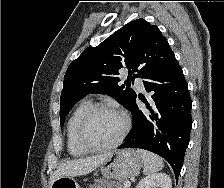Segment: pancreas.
<instances>
[{
  "label": "pancreas",
  "instance_id": "cf45deb5",
  "mask_svg": "<svg viewBox=\"0 0 224 188\" xmlns=\"http://www.w3.org/2000/svg\"><path fill=\"white\" fill-rule=\"evenodd\" d=\"M89 188H126L124 182H111L105 179L95 180Z\"/></svg>",
  "mask_w": 224,
  "mask_h": 188
}]
</instances>
